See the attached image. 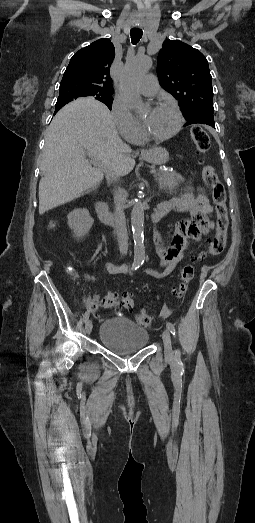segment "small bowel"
Segmentation results:
<instances>
[{"label": "small bowel", "instance_id": "small-bowel-1", "mask_svg": "<svg viewBox=\"0 0 255 523\" xmlns=\"http://www.w3.org/2000/svg\"><path fill=\"white\" fill-rule=\"evenodd\" d=\"M169 202L172 211L188 212L191 218L181 220L176 224L173 237L168 245H163L158 238L156 239L158 265L164 267V269L162 271L143 270L144 274L154 278H162L171 274L185 258V252L190 242L198 241L202 235L208 234L214 228L211 220L213 207L202 192L194 193L192 187H189L185 195L173 198ZM106 269L110 274L132 273L127 264L115 265L109 262L106 264ZM85 277L90 281L95 280V277L90 275ZM98 299L99 296L94 295L93 302L96 304Z\"/></svg>", "mask_w": 255, "mask_h": 523}]
</instances>
